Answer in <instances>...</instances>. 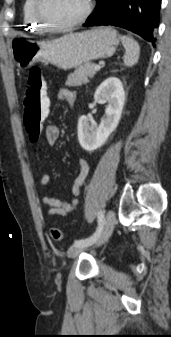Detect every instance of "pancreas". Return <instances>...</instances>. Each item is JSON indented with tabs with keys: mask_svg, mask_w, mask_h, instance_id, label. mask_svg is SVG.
Listing matches in <instances>:
<instances>
[{
	"mask_svg": "<svg viewBox=\"0 0 171 337\" xmlns=\"http://www.w3.org/2000/svg\"><path fill=\"white\" fill-rule=\"evenodd\" d=\"M94 63L88 62L77 67L73 73L68 75L66 86H81L89 81V78L94 77L96 70H94Z\"/></svg>",
	"mask_w": 171,
	"mask_h": 337,
	"instance_id": "obj_1",
	"label": "pancreas"
}]
</instances>
